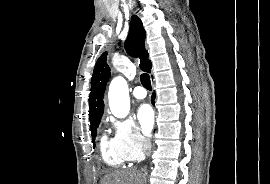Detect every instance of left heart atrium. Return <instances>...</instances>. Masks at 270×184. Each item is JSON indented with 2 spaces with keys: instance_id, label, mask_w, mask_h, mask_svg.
I'll return each instance as SVG.
<instances>
[{
  "instance_id": "obj_1",
  "label": "left heart atrium",
  "mask_w": 270,
  "mask_h": 184,
  "mask_svg": "<svg viewBox=\"0 0 270 184\" xmlns=\"http://www.w3.org/2000/svg\"><path fill=\"white\" fill-rule=\"evenodd\" d=\"M137 118L143 132L148 134L154 123V112L152 108L147 104L141 105L137 112Z\"/></svg>"
}]
</instances>
